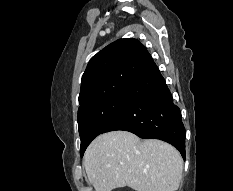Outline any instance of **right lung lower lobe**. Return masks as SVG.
<instances>
[{"label":"right lung lower lobe","instance_id":"98d812e1","mask_svg":"<svg viewBox=\"0 0 233 191\" xmlns=\"http://www.w3.org/2000/svg\"><path fill=\"white\" fill-rule=\"evenodd\" d=\"M128 92L127 105L101 133L125 130L143 139H160L176 147L185 159L181 113L153 59Z\"/></svg>","mask_w":233,"mask_h":191}]
</instances>
